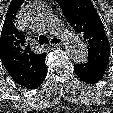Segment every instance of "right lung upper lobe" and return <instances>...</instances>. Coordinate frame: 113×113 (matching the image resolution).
<instances>
[{"label": "right lung upper lobe", "mask_w": 113, "mask_h": 113, "mask_svg": "<svg viewBox=\"0 0 113 113\" xmlns=\"http://www.w3.org/2000/svg\"><path fill=\"white\" fill-rule=\"evenodd\" d=\"M23 0H13L5 17L0 38V59L12 79L32 89L47 75L44 54H35L25 36L14 25V18Z\"/></svg>", "instance_id": "right-lung-upper-lobe-1"}]
</instances>
